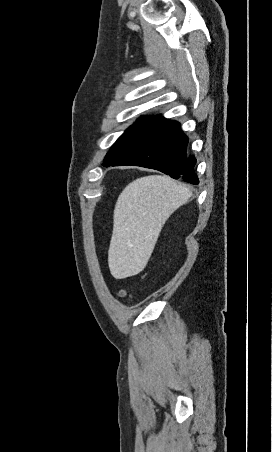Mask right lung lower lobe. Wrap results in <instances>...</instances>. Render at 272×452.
Instances as JSON below:
<instances>
[{
  "mask_svg": "<svg viewBox=\"0 0 272 452\" xmlns=\"http://www.w3.org/2000/svg\"><path fill=\"white\" fill-rule=\"evenodd\" d=\"M188 138L177 121L159 117L148 131L111 166L135 165L159 170L191 184L199 180L196 160L187 154Z\"/></svg>",
  "mask_w": 272,
  "mask_h": 452,
  "instance_id": "98d812e1",
  "label": "right lung lower lobe"
}]
</instances>
